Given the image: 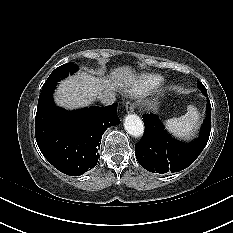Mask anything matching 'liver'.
Returning <instances> with one entry per match:
<instances>
[{
    "mask_svg": "<svg viewBox=\"0 0 233 233\" xmlns=\"http://www.w3.org/2000/svg\"><path fill=\"white\" fill-rule=\"evenodd\" d=\"M134 79V71L129 66L114 69L106 78H97L86 72H80L61 82L54 99L57 105L65 109L85 107L91 104L99 94L130 86Z\"/></svg>",
    "mask_w": 233,
    "mask_h": 233,
    "instance_id": "liver-1",
    "label": "liver"
}]
</instances>
